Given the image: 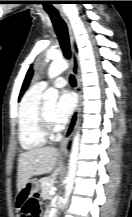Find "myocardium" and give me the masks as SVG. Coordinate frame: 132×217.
Here are the masks:
<instances>
[{
    "instance_id": "myocardium-1",
    "label": "myocardium",
    "mask_w": 132,
    "mask_h": 217,
    "mask_svg": "<svg viewBox=\"0 0 132 217\" xmlns=\"http://www.w3.org/2000/svg\"><path fill=\"white\" fill-rule=\"evenodd\" d=\"M39 122H40V127H41L42 131L45 133V135H47L50 131V128H51L52 119L46 113L44 104H42L41 108H40Z\"/></svg>"
}]
</instances>
